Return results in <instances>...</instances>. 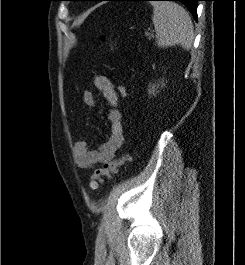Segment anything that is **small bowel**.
I'll return each instance as SVG.
<instances>
[{
    "mask_svg": "<svg viewBox=\"0 0 245 265\" xmlns=\"http://www.w3.org/2000/svg\"><path fill=\"white\" fill-rule=\"evenodd\" d=\"M94 85L102 93L110 107L108 113L110 135L108 140L97 149H91L85 139H79L75 142L73 156L76 164L81 168H92L97 164L109 162L124 142L120 95L114 83L106 76L97 75L94 78ZM82 100L89 107L97 105L96 97L91 91L85 90Z\"/></svg>",
    "mask_w": 245,
    "mask_h": 265,
    "instance_id": "obj_1",
    "label": "small bowel"
}]
</instances>
